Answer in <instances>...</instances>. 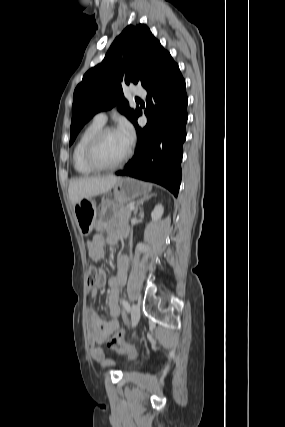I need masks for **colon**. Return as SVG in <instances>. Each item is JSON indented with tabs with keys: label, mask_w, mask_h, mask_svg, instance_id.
<instances>
[{
	"label": "colon",
	"mask_w": 285,
	"mask_h": 427,
	"mask_svg": "<svg viewBox=\"0 0 285 427\" xmlns=\"http://www.w3.org/2000/svg\"><path fill=\"white\" fill-rule=\"evenodd\" d=\"M97 281V270L94 266L89 265L88 267V276H87V286L92 288L96 285ZM109 346L111 349L122 353L128 354L130 356L134 355V350L132 347L125 341L122 331H118L109 341Z\"/></svg>",
	"instance_id": "obj_1"
}]
</instances>
